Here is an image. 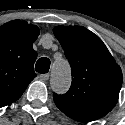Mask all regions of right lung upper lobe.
I'll list each match as a JSON object with an SVG mask.
<instances>
[{
    "mask_svg": "<svg viewBox=\"0 0 125 125\" xmlns=\"http://www.w3.org/2000/svg\"><path fill=\"white\" fill-rule=\"evenodd\" d=\"M39 28L13 20L0 26V108L18 100L36 76L33 43Z\"/></svg>",
    "mask_w": 125,
    "mask_h": 125,
    "instance_id": "cb5924a9",
    "label": "right lung upper lobe"
}]
</instances>
